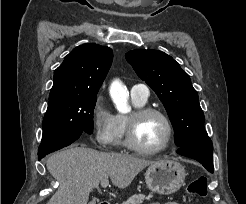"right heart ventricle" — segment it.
<instances>
[{
  "label": "right heart ventricle",
  "instance_id": "obj_1",
  "mask_svg": "<svg viewBox=\"0 0 246 204\" xmlns=\"http://www.w3.org/2000/svg\"><path fill=\"white\" fill-rule=\"evenodd\" d=\"M132 101L134 106L137 108H141L146 104V102H142L140 100L133 99V98ZM126 122H127L126 115L118 114L115 116V128H114V134L111 142L114 146L125 145Z\"/></svg>",
  "mask_w": 246,
  "mask_h": 204
}]
</instances>
